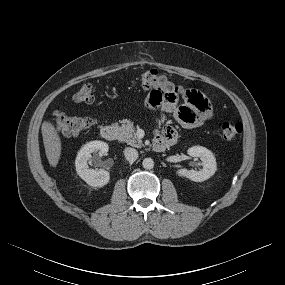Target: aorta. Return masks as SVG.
Wrapping results in <instances>:
<instances>
[{"label": "aorta", "mask_w": 285, "mask_h": 285, "mask_svg": "<svg viewBox=\"0 0 285 285\" xmlns=\"http://www.w3.org/2000/svg\"><path fill=\"white\" fill-rule=\"evenodd\" d=\"M142 165L145 169H152L154 167V161L151 158H145L142 162Z\"/></svg>", "instance_id": "obj_1"}]
</instances>
